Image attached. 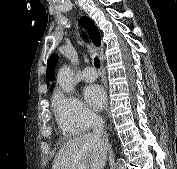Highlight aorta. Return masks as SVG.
I'll return each mask as SVG.
<instances>
[{
	"label": "aorta",
	"mask_w": 177,
	"mask_h": 169,
	"mask_svg": "<svg viewBox=\"0 0 177 169\" xmlns=\"http://www.w3.org/2000/svg\"><path fill=\"white\" fill-rule=\"evenodd\" d=\"M57 83L66 93H71L74 91L73 73L69 66L64 65L62 68H60L57 75ZM118 169H124V167L120 166Z\"/></svg>",
	"instance_id": "1"
}]
</instances>
